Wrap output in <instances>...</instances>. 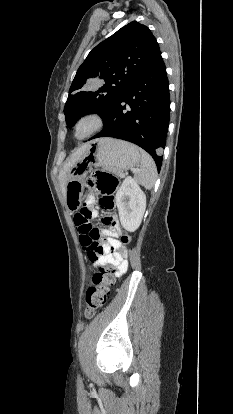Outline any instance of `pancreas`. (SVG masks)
Returning <instances> with one entry per match:
<instances>
[{"label": "pancreas", "mask_w": 233, "mask_h": 414, "mask_svg": "<svg viewBox=\"0 0 233 414\" xmlns=\"http://www.w3.org/2000/svg\"><path fill=\"white\" fill-rule=\"evenodd\" d=\"M116 174L120 177H124V173L122 171H118V172H116Z\"/></svg>", "instance_id": "cf45deb5"}]
</instances>
